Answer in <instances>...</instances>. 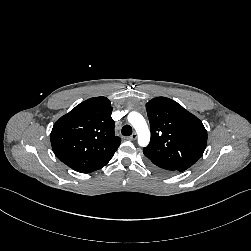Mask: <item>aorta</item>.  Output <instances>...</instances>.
<instances>
[{
	"instance_id": "obj_1",
	"label": "aorta",
	"mask_w": 251,
	"mask_h": 251,
	"mask_svg": "<svg viewBox=\"0 0 251 251\" xmlns=\"http://www.w3.org/2000/svg\"><path fill=\"white\" fill-rule=\"evenodd\" d=\"M128 121L137 132L138 144L141 147L147 146L150 141V131L144 117L138 112H131L128 115Z\"/></svg>"
}]
</instances>
